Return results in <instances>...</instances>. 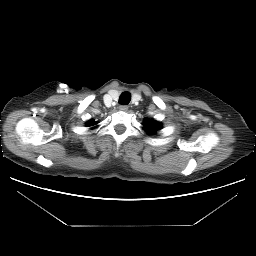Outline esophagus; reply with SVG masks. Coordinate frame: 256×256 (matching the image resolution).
<instances>
[{"instance_id":"esophagus-1","label":"esophagus","mask_w":256,"mask_h":256,"mask_svg":"<svg viewBox=\"0 0 256 256\" xmlns=\"http://www.w3.org/2000/svg\"><path fill=\"white\" fill-rule=\"evenodd\" d=\"M119 110L126 112L128 110V106L127 105H120Z\"/></svg>"}]
</instances>
